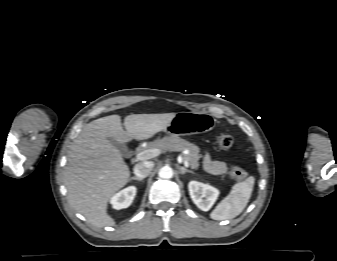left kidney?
Listing matches in <instances>:
<instances>
[{
	"instance_id": "1",
	"label": "left kidney",
	"mask_w": 337,
	"mask_h": 261,
	"mask_svg": "<svg viewBox=\"0 0 337 261\" xmlns=\"http://www.w3.org/2000/svg\"><path fill=\"white\" fill-rule=\"evenodd\" d=\"M188 189L191 199L202 211L210 210L219 196L218 189L198 181H190Z\"/></svg>"
}]
</instances>
